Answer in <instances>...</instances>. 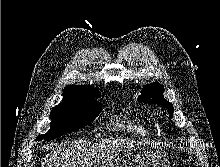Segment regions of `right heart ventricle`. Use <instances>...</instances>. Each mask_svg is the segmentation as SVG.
Masks as SVG:
<instances>
[{
	"label": "right heart ventricle",
	"instance_id": "obj_1",
	"mask_svg": "<svg viewBox=\"0 0 220 167\" xmlns=\"http://www.w3.org/2000/svg\"><path fill=\"white\" fill-rule=\"evenodd\" d=\"M113 129L132 136L146 137L152 134L151 128L139 121L121 120L114 124Z\"/></svg>",
	"mask_w": 220,
	"mask_h": 167
}]
</instances>
